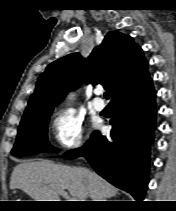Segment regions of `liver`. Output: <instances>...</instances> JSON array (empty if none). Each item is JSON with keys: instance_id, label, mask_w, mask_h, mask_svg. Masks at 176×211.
<instances>
[{"instance_id": "6515ba94", "label": "liver", "mask_w": 176, "mask_h": 211, "mask_svg": "<svg viewBox=\"0 0 176 211\" xmlns=\"http://www.w3.org/2000/svg\"><path fill=\"white\" fill-rule=\"evenodd\" d=\"M10 189H21L35 201H60L59 190L67 189L78 201H106L117 189L95 172L54 164L47 160L24 162L12 172Z\"/></svg>"}]
</instances>
